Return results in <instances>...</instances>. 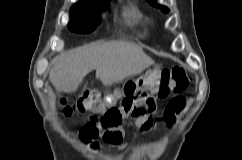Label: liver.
<instances>
[{
    "label": "liver",
    "instance_id": "obj_1",
    "mask_svg": "<svg viewBox=\"0 0 242 160\" xmlns=\"http://www.w3.org/2000/svg\"><path fill=\"white\" fill-rule=\"evenodd\" d=\"M153 64L154 60L135 44L92 43L55 57L49 79L56 91L72 93L92 70H96V78L104 85H111L138 75Z\"/></svg>",
    "mask_w": 242,
    "mask_h": 160
}]
</instances>
